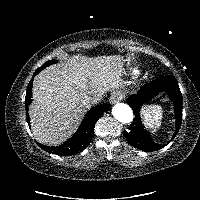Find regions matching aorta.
<instances>
[{"label": "aorta", "instance_id": "aorta-1", "mask_svg": "<svg viewBox=\"0 0 200 200\" xmlns=\"http://www.w3.org/2000/svg\"><path fill=\"white\" fill-rule=\"evenodd\" d=\"M112 114L116 120L121 123L128 124L133 121V111L129 105L125 103H117L112 108Z\"/></svg>", "mask_w": 200, "mask_h": 200}]
</instances>
